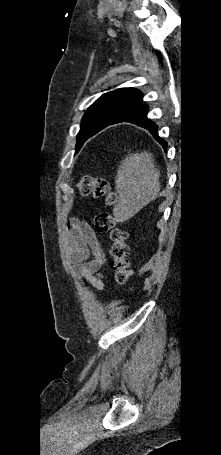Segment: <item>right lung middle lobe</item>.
I'll list each match as a JSON object with an SVG mask.
<instances>
[{
    "mask_svg": "<svg viewBox=\"0 0 221 455\" xmlns=\"http://www.w3.org/2000/svg\"><path fill=\"white\" fill-rule=\"evenodd\" d=\"M126 111L110 105H92L83 116L81 129L77 135L76 153L84 142L108 125H111Z\"/></svg>",
    "mask_w": 221,
    "mask_h": 455,
    "instance_id": "right-lung-middle-lobe-1",
    "label": "right lung middle lobe"
}]
</instances>
